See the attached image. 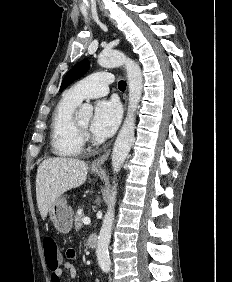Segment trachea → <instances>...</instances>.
I'll return each instance as SVG.
<instances>
[{
    "instance_id": "obj_1",
    "label": "trachea",
    "mask_w": 232,
    "mask_h": 282,
    "mask_svg": "<svg viewBox=\"0 0 232 282\" xmlns=\"http://www.w3.org/2000/svg\"><path fill=\"white\" fill-rule=\"evenodd\" d=\"M118 88H119L120 90L124 91L125 88H126V82L123 81V80L119 81V83H118Z\"/></svg>"
}]
</instances>
